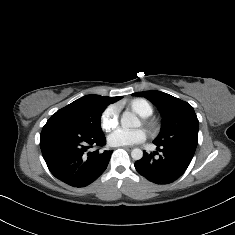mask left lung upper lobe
Segmentation results:
<instances>
[{"instance_id":"left-lung-upper-lobe-1","label":"left lung upper lobe","mask_w":235,"mask_h":235,"mask_svg":"<svg viewBox=\"0 0 235 235\" xmlns=\"http://www.w3.org/2000/svg\"><path fill=\"white\" fill-rule=\"evenodd\" d=\"M133 95L150 100L162 115L161 131L153 141L155 145L180 144L196 149L199 122L190 104L156 90L138 92Z\"/></svg>"}]
</instances>
